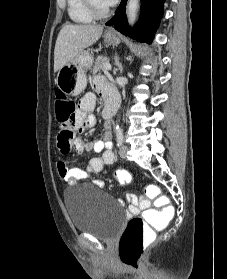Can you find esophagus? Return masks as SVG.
Wrapping results in <instances>:
<instances>
[{
	"mask_svg": "<svg viewBox=\"0 0 227 279\" xmlns=\"http://www.w3.org/2000/svg\"><path fill=\"white\" fill-rule=\"evenodd\" d=\"M109 32H112L113 30L111 28L108 29Z\"/></svg>",
	"mask_w": 227,
	"mask_h": 279,
	"instance_id": "1",
	"label": "esophagus"
}]
</instances>
